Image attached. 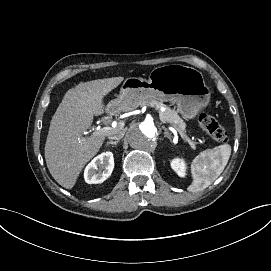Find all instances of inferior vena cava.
I'll return each instance as SVG.
<instances>
[{"label":"inferior vena cava","instance_id":"inferior-vena-cava-1","mask_svg":"<svg viewBox=\"0 0 271 271\" xmlns=\"http://www.w3.org/2000/svg\"><path fill=\"white\" fill-rule=\"evenodd\" d=\"M124 136V130L116 129L113 133H110L108 139L119 141Z\"/></svg>","mask_w":271,"mask_h":271}]
</instances>
